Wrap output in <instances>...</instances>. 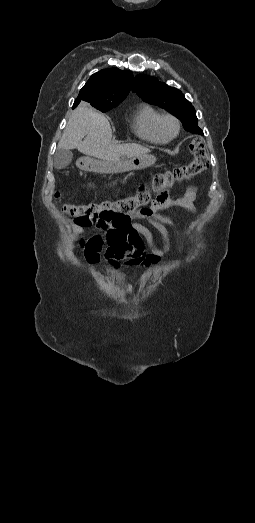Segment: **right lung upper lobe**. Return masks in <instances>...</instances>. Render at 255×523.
Segmentation results:
<instances>
[{"label": "right lung upper lobe", "instance_id": "cb5924a9", "mask_svg": "<svg viewBox=\"0 0 255 523\" xmlns=\"http://www.w3.org/2000/svg\"><path fill=\"white\" fill-rule=\"evenodd\" d=\"M133 74L117 68L104 69L93 74L80 90L74 102L76 107L81 101L90 105L99 103L122 102L130 92Z\"/></svg>", "mask_w": 255, "mask_h": 523}]
</instances>
